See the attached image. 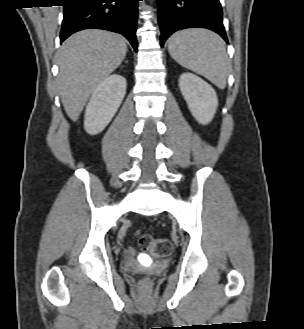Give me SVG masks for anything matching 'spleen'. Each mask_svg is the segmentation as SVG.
<instances>
[{"instance_id":"spleen-1","label":"spleen","mask_w":304,"mask_h":329,"mask_svg":"<svg viewBox=\"0 0 304 329\" xmlns=\"http://www.w3.org/2000/svg\"><path fill=\"white\" fill-rule=\"evenodd\" d=\"M171 57L181 66L196 72L224 89L229 60L223 40L207 29H185L174 33L168 41Z\"/></svg>"}]
</instances>
